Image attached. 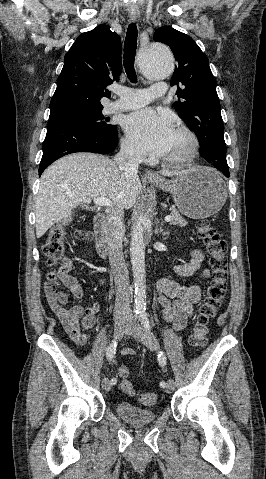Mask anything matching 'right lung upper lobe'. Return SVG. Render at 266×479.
<instances>
[{
  "mask_svg": "<svg viewBox=\"0 0 266 479\" xmlns=\"http://www.w3.org/2000/svg\"><path fill=\"white\" fill-rule=\"evenodd\" d=\"M122 71L121 39L101 24L78 36L64 57L50 113L73 108H99L106 87L119 80Z\"/></svg>",
  "mask_w": 266,
  "mask_h": 479,
  "instance_id": "obj_1",
  "label": "right lung upper lobe"
}]
</instances>
